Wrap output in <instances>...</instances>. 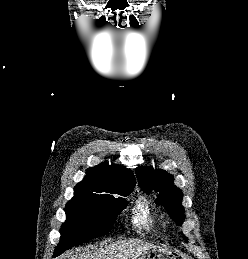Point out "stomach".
Wrapping results in <instances>:
<instances>
[{
  "label": "stomach",
  "mask_w": 248,
  "mask_h": 259,
  "mask_svg": "<svg viewBox=\"0 0 248 259\" xmlns=\"http://www.w3.org/2000/svg\"><path fill=\"white\" fill-rule=\"evenodd\" d=\"M136 259H176L169 251L152 247L142 252Z\"/></svg>",
  "instance_id": "0dacf381"
}]
</instances>
